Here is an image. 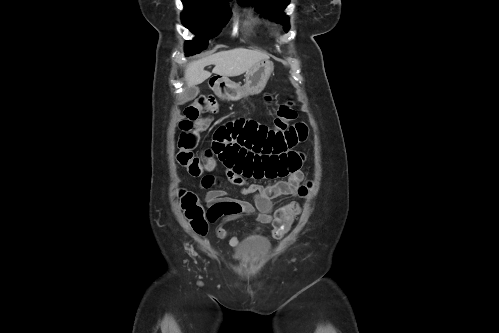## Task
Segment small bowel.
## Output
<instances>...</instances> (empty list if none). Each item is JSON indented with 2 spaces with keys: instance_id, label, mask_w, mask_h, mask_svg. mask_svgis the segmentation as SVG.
<instances>
[{
  "instance_id": "small-bowel-1",
  "label": "small bowel",
  "mask_w": 499,
  "mask_h": 333,
  "mask_svg": "<svg viewBox=\"0 0 499 333\" xmlns=\"http://www.w3.org/2000/svg\"><path fill=\"white\" fill-rule=\"evenodd\" d=\"M307 135L308 129L302 122L281 131L247 119L227 122L215 131L203 159L209 162L215 157L219 159L225 167V175H206L201 187L209 189L205 200L209 221L218 222L215 230L218 238L229 239L231 246H237L242 239L224 228L226 222L247 215L258 224L273 223L276 200L306 195L308 187L303 184L305 173L302 170L304 155L295 147ZM275 178L286 179L274 184L248 183L249 179ZM225 182L241 187V193L251 196L253 203L233 198L220 188H212Z\"/></svg>"
}]
</instances>
